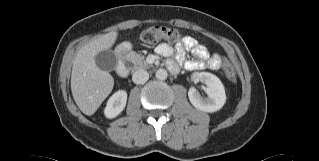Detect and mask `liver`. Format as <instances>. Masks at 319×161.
I'll return each instance as SVG.
<instances>
[{
	"label": "liver",
	"instance_id": "liver-1",
	"mask_svg": "<svg viewBox=\"0 0 319 161\" xmlns=\"http://www.w3.org/2000/svg\"><path fill=\"white\" fill-rule=\"evenodd\" d=\"M117 36L116 31L98 36L82 47L73 61L71 91L75 103L86 115L94 114L113 89V77L97 67L94 57L111 48Z\"/></svg>",
	"mask_w": 319,
	"mask_h": 161
}]
</instances>
